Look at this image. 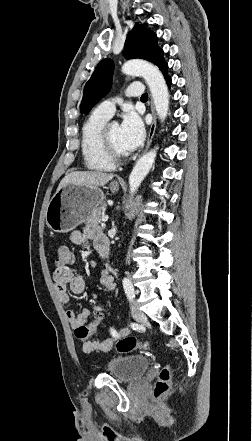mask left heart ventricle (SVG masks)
<instances>
[{"label": "left heart ventricle", "instance_id": "1", "mask_svg": "<svg viewBox=\"0 0 252 441\" xmlns=\"http://www.w3.org/2000/svg\"><path fill=\"white\" fill-rule=\"evenodd\" d=\"M109 137L112 146L115 148L116 151L119 153H125L121 147L120 143V126L117 124H112L109 128Z\"/></svg>", "mask_w": 252, "mask_h": 441}]
</instances>
